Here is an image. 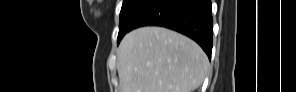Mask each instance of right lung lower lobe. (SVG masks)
Wrapping results in <instances>:
<instances>
[{"mask_svg": "<svg viewBox=\"0 0 296 92\" xmlns=\"http://www.w3.org/2000/svg\"><path fill=\"white\" fill-rule=\"evenodd\" d=\"M163 26L195 40L211 58L213 18L210 0H154L134 21L141 26Z\"/></svg>", "mask_w": 296, "mask_h": 92, "instance_id": "right-lung-lower-lobe-1", "label": "right lung lower lobe"}]
</instances>
